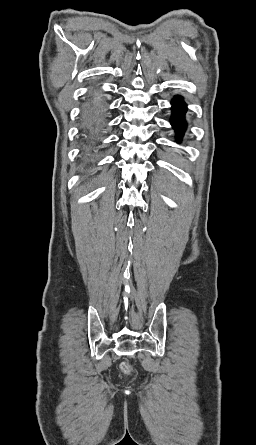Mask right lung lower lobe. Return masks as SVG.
<instances>
[{"label":"right lung lower lobe","mask_w":256,"mask_h":445,"mask_svg":"<svg viewBox=\"0 0 256 445\" xmlns=\"http://www.w3.org/2000/svg\"><path fill=\"white\" fill-rule=\"evenodd\" d=\"M101 113L100 101L95 97L86 104L82 112L86 122L93 127L100 122Z\"/></svg>","instance_id":"right-lung-lower-lobe-1"}]
</instances>
